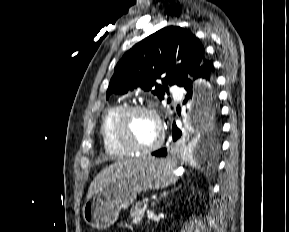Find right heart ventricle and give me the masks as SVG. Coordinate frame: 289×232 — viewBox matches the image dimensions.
<instances>
[{"label": "right heart ventricle", "mask_w": 289, "mask_h": 232, "mask_svg": "<svg viewBox=\"0 0 289 232\" xmlns=\"http://www.w3.org/2000/svg\"><path fill=\"white\" fill-rule=\"evenodd\" d=\"M123 108L120 104L110 106L105 111L101 120L100 133L104 150L108 155L114 157H125L131 153L117 142L114 135L115 121Z\"/></svg>", "instance_id": "obj_1"}]
</instances>
